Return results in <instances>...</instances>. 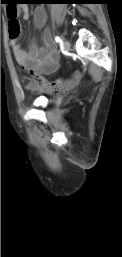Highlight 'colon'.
<instances>
[{
	"instance_id": "5ec220e1",
	"label": "colon",
	"mask_w": 122,
	"mask_h": 257,
	"mask_svg": "<svg viewBox=\"0 0 122 257\" xmlns=\"http://www.w3.org/2000/svg\"><path fill=\"white\" fill-rule=\"evenodd\" d=\"M6 10L8 11L9 17V34L11 38H17L21 31L20 23L17 19V5H6ZM71 79H84L85 75L82 70H74V74H71ZM27 85L30 88H38L44 92H58L62 86L63 81L61 79L55 80L53 82L46 81L43 77L38 74H32L30 80H28Z\"/></svg>"
}]
</instances>
